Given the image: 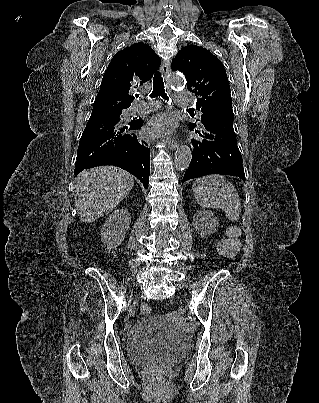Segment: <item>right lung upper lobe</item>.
<instances>
[{"label": "right lung upper lobe", "mask_w": 319, "mask_h": 403, "mask_svg": "<svg viewBox=\"0 0 319 403\" xmlns=\"http://www.w3.org/2000/svg\"><path fill=\"white\" fill-rule=\"evenodd\" d=\"M159 66V56L143 42L117 52L104 73L94 106L128 108L134 99L130 91L149 81Z\"/></svg>", "instance_id": "right-lung-upper-lobe-1"}]
</instances>
